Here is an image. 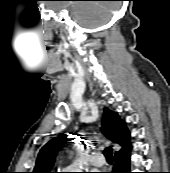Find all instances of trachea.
Wrapping results in <instances>:
<instances>
[{"label": "trachea", "mask_w": 170, "mask_h": 173, "mask_svg": "<svg viewBox=\"0 0 170 173\" xmlns=\"http://www.w3.org/2000/svg\"><path fill=\"white\" fill-rule=\"evenodd\" d=\"M112 152H113V150L111 147L105 148V150L103 151V154L108 161H113Z\"/></svg>", "instance_id": "1"}]
</instances>
